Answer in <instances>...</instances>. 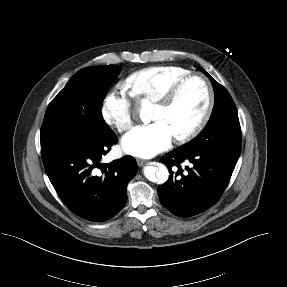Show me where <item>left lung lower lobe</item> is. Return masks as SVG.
Wrapping results in <instances>:
<instances>
[{
	"mask_svg": "<svg viewBox=\"0 0 287 287\" xmlns=\"http://www.w3.org/2000/svg\"><path fill=\"white\" fill-rule=\"evenodd\" d=\"M238 158L217 150L179 147L171 151L161 160L170 176L158 187L160 202L180 217L204 212L222 195ZM182 162L191 163L186 172L180 166Z\"/></svg>",
	"mask_w": 287,
	"mask_h": 287,
	"instance_id": "1",
	"label": "left lung lower lobe"
}]
</instances>
